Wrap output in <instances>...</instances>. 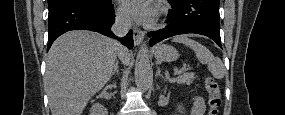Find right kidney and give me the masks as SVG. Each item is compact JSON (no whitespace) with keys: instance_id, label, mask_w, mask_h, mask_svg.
Listing matches in <instances>:
<instances>
[{"instance_id":"right-kidney-1","label":"right kidney","mask_w":285,"mask_h":115,"mask_svg":"<svg viewBox=\"0 0 285 115\" xmlns=\"http://www.w3.org/2000/svg\"><path fill=\"white\" fill-rule=\"evenodd\" d=\"M90 112H91V115H105L106 109L100 104H94L91 107Z\"/></svg>"}]
</instances>
